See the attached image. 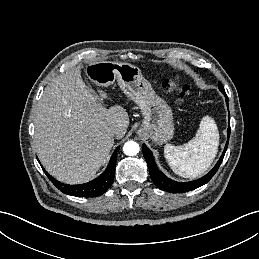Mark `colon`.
Listing matches in <instances>:
<instances>
[{
    "label": "colon",
    "mask_w": 259,
    "mask_h": 259,
    "mask_svg": "<svg viewBox=\"0 0 259 259\" xmlns=\"http://www.w3.org/2000/svg\"><path fill=\"white\" fill-rule=\"evenodd\" d=\"M163 88L177 96L179 102L186 101L192 95V87L188 84H181L177 78H169L163 82Z\"/></svg>",
    "instance_id": "1"
}]
</instances>
